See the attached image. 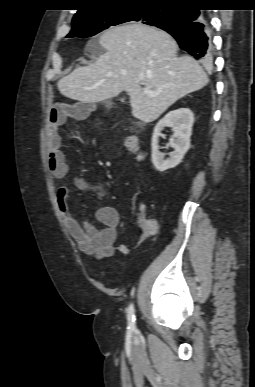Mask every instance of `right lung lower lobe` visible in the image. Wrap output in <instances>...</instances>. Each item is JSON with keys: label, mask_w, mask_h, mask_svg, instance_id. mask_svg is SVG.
<instances>
[{"label": "right lung lower lobe", "mask_w": 255, "mask_h": 387, "mask_svg": "<svg viewBox=\"0 0 255 387\" xmlns=\"http://www.w3.org/2000/svg\"><path fill=\"white\" fill-rule=\"evenodd\" d=\"M198 5H183L175 8V16L159 28L171 34L181 49L203 64L212 62L210 23L205 11Z\"/></svg>", "instance_id": "98d812e1"}]
</instances>
